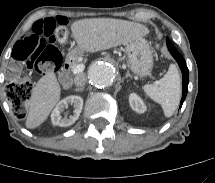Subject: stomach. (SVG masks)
<instances>
[{
    "label": "stomach",
    "mask_w": 215,
    "mask_h": 183,
    "mask_svg": "<svg viewBox=\"0 0 215 183\" xmlns=\"http://www.w3.org/2000/svg\"><path fill=\"white\" fill-rule=\"evenodd\" d=\"M125 46L128 66L131 71L140 77L150 75L153 67V52L149 43L144 38L139 37ZM81 54L79 47H76L68 53V59H75Z\"/></svg>",
    "instance_id": "1"
}]
</instances>
